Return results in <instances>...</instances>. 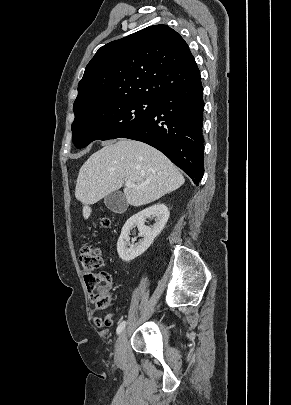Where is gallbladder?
Masks as SVG:
<instances>
[{"label": "gallbladder", "instance_id": "obj_1", "mask_svg": "<svg viewBox=\"0 0 291 405\" xmlns=\"http://www.w3.org/2000/svg\"><path fill=\"white\" fill-rule=\"evenodd\" d=\"M104 203L106 207L114 213H122L128 207L125 196L118 191L108 194L104 199Z\"/></svg>", "mask_w": 291, "mask_h": 405}]
</instances>
